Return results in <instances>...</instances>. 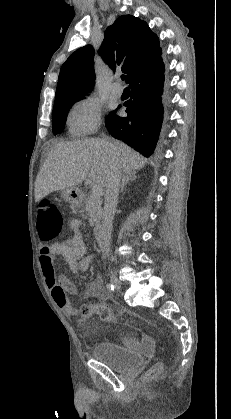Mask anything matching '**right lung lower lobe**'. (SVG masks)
I'll use <instances>...</instances> for the list:
<instances>
[{"instance_id":"98d812e1","label":"right lung lower lobe","mask_w":231,"mask_h":419,"mask_svg":"<svg viewBox=\"0 0 231 419\" xmlns=\"http://www.w3.org/2000/svg\"><path fill=\"white\" fill-rule=\"evenodd\" d=\"M164 62L162 58L153 66L135 76L130 82L131 99L124 103L126 117L115 111L105 119L110 134L134 147L144 156H150L156 147L162 121L164 89Z\"/></svg>"}]
</instances>
